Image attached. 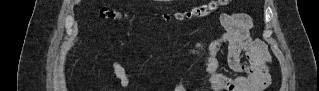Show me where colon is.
<instances>
[{"label":"colon","instance_id":"obj_1","mask_svg":"<svg viewBox=\"0 0 319 91\" xmlns=\"http://www.w3.org/2000/svg\"><path fill=\"white\" fill-rule=\"evenodd\" d=\"M219 3L220 1H212L208 4L197 5L186 11L175 13L174 16L178 19L204 17L214 11ZM100 15L105 19H116L121 17L120 12L109 8H103L100 11Z\"/></svg>","mask_w":319,"mask_h":91}]
</instances>
